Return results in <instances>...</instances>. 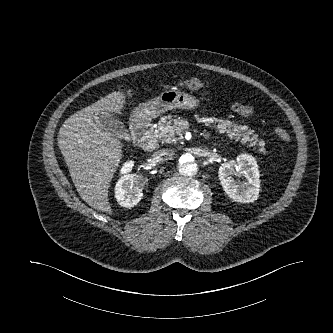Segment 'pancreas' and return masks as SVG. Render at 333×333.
Returning <instances> with one entry per match:
<instances>
[{
    "label": "pancreas",
    "mask_w": 333,
    "mask_h": 333,
    "mask_svg": "<svg viewBox=\"0 0 333 333\" xmlns=\"http://www.w3.org/2000/svg\"><path fill=\"white\" fill-rule=\"evenodd\" d=\"M196 118L198 122H203L205 126L208 127H212L213 123H217V130L220 133H226L230 139H236V141H240L242 145L247 144L248 146L253 147V150H256L257 147H259L257 149L259 153L264 151L258 135L254 134V131L248 129L245 125L217 118ZM179 121V119H173L170 115L162 117L159 120L157 127V135L159 138H162L166 143H172L176 140L182 139L184 128H181L178 125ZM176 135L178 138H176Z\"/></svg>",
    "instance_id": "obj_1"
}]
</instances>
